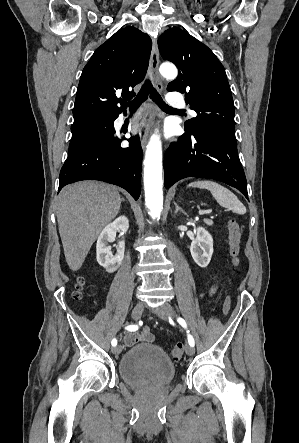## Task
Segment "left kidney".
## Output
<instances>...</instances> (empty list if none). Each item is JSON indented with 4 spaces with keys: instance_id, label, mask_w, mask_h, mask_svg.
Returning a JSON list of instances; mask_svg holds the SVG:
<instances>
[{
    "instance_id": "obj_1",
    "label": "left kidney",
    "mask_w": 299,
    "mask_h": 443,
    "mask_svg": "<svg viewBox=\"0 0 299 443\" xmlns=\"http://www.w3.org/2000/svg\"><path fill=\"white\" fill-rule=\"evenodd\" d=\"M190 252L195 263L205 268L213 254V238L204 228H197V236L190 245Z\"/></svg>"
}]
</instances>
